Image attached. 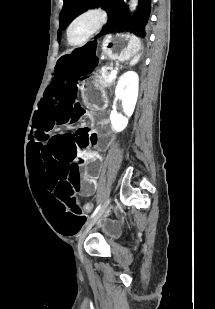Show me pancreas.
<instances>
[{
    "mask_svg": "<svg viewBox=\"0 0 215 309\" xmlns=\"http://www.w3.org/2000/svg\"><path fill=\"white\" fill-rule=\"evenodd\" d=\"M109 70L110 68H106V70H99L100 74L98 76V80L101 86H111L113 80H109V76L111 74Z\"/></svg>",
    "mask_w": 215,
    "mask_h": 309,
    "instance_id": "cf45deb5",
    "label": "pancreas"
}]
</instances>
